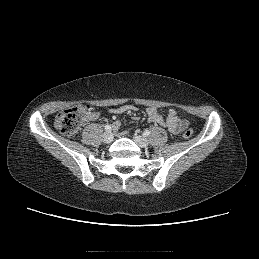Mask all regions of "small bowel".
I'll return each instance as SVG.
<instances>
[{
  "label": "small bowel",
  "mask_w": 259,
  "mask_h": 259,
  "mask_svg": "<svg viewBox=\"0 0 259 259\" xmlns=\"http://www.w3.org/2000/svg\"><path fill=\"white\" fill-rule=\"evenodd\" d=\"M137 107L132 104H125L115 108H112L110 112L114 115H120L124 113H131L137 111ZM148 119L151 123L165 127L170 133L178 134L183 129L187 128L189 123L186 119L181 118L177 111L173 108L169 109L166 117H164L157 107H149L147 109ZM99 117V113L95 112L89 116V119L94 120ZM115 128L119 127L118 123H115Z\"/></svg>",
  "instance_id": "obj_1"
}]
</instances>
